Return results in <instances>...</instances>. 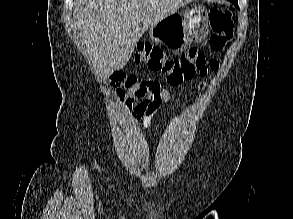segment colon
I'll use <instances>...</instances> for the list:
<instances>
[{
	"instance_id": "1",
	"label": "colon",
	"mask_w": 293,
	"mask_h": 219,
	"mask_svg": "<svg viewBox=\"0 0 293 219\" xmlns=\"http://www.w3.org/2000/svg\"><path fill=\"white\" fill-rule=\"evenodd\" d=\"M210 46L215 51L222 50L233 37L232 14L223 7H213L209 11ZM135 61L146 64L151 70L167 75L171 86H179L196 75L205 76L219 68L218 61L208 60L203 52L190 48L178 56L170 57L166 52L151 44L139 46ZM140 82L134 75L116 71L111 76V86L116 96L123 98L127 92L135 90Z\"/></svg>"
}]
</instances>
